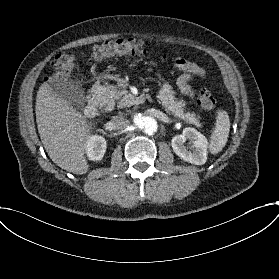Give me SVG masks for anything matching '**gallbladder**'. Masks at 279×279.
I'll list each match as a JSON object with an SVG mask.
<instances>
[{
  "instance_id": "bac80fb5",
  "label": "gallbladder",
  "mask_w": 279,
  "mask_h": 279,
  "mask_svg": "<svg viewBox=\"0 0 279 279\" xmlns=\"http://www.w3.org/2000/svg\"><path fill=\"white\" fill-rule=\"evenodd\" d=\"M53 86L57 94L79 109H83L87 104L85 89L69 77L57 79Z\"/></svg>"
}]
</instances>
